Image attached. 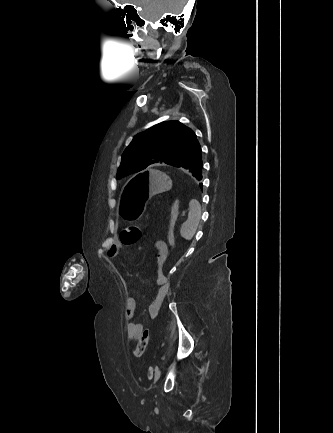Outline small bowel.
<instances>
[{
	"instance_id": "1",
	"label": "small bowel",
	"mask_w": 333,
	"mask_h": 433,
	"mask_svg": "<svg viewBox=\"0 0 333 433\" xmlns=\"http://www.w3.org/2000/svg\"><path fill=\"white\" fill-rule=\"evenodd\" d=\"M154 248L156 250L157 292L147 308V313L152 318L159 314L162 303L169 293V284L162 274V269L169 253L168 246L164 241L157 240L154 242ZM119 249L120 248L117 244L111 245L107 250V256L109 258L116 257ZM137 310L138 307L136 299L132 296H128L125 301V319L128 322L126 329L128 338L130 340H138L142 333L146 330L143 324L132 322L137 314Z\"/></svg>"
}]
</instances>
